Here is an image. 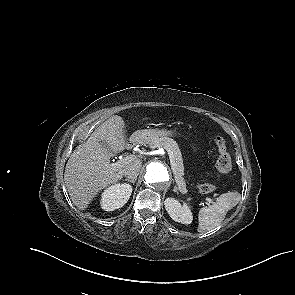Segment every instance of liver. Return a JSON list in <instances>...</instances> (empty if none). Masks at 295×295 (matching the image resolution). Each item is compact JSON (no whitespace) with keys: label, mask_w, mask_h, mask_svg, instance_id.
<instances>
[{"label":"liver","mask_w":295,"mask_h":295,"mask_svg":"<svg viewBox=\"0 0 295 295\" xmlns=\"http://www.w3.org/2000/svg\"><path fill=\"white\" fill-rule=\"evenodd\" d=\"M127 147L125 123L120 116L109 118L86 142L77 146L66 164L64 180L79 210H85L102 189L121 180L127 166L141 167L142 161L138 158L122 166L110 164V157Z\"/></svg>","instance_id":"1"}]
</instances>
